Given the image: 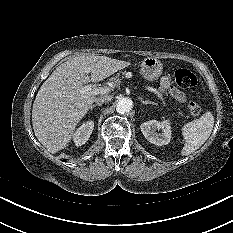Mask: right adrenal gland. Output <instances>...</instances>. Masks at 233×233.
<instances>
[{
  "label": "right adrenal gland",
  "mask_w": 233,
  "mask_h": 233,
  "mask_svg": "<svg viewBox=\"0 0 233 233\" xmlns=\"http://www.w3.org/2000/svg\"><path fill=\"white\" fill-rule=\"evenodd\" d=\"M97 106H101V105H97V104H94V105H92L91 107H90V111H92L95 107H97Z\"/></svg>",
  "instance_id": "obj_1"
}]
</instances>
